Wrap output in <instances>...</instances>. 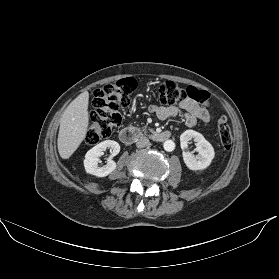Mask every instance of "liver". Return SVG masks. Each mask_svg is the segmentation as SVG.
Segmentation results:
<instances>
[{
  "mask_svg": "<svg viewBox=\"0 0 279 279\" xmlns=\"http://www.w3.org/2000/svg\"><path fill=\"white\" fill-rule=\"evenodd\" d=\"M89 93L78 95L66 108L60 118L57 140L58 152L62 159H68L85 139L89 126Z\"/></svg>",
  "mask_w": 279,
  "mask_h": 279,
  "instance_id": "1",
  "label": "liver"
}]
</instances>
